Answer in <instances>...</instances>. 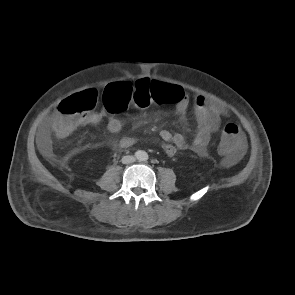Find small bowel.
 <instances>
[{
  "instance_id": "obj_1",
  "label": "small bowel",
  "mask_w": 295,
  "mask_h": 295,
  "mask_svg": "<svg viewBox=\"0 0 295 295\" xmlns=\"http://www.w3.org/2000/svg\"><path fill=\"white\" fill-rule=\"evenodd\" d=\"M146 80L147 79H141L133 83V86L138 82ZM175 87L178 90L177 99L174 101L175 112L178 116L183 117L191 103V97L184 88L180 86ZM193 106L197 120V128L190 141H188L184 135L169 130H162L159 134L163 142V151L169 157H173L179 149H191L199 156H206L211 136L218 130L221 119L227 114L225 107L207 100L202 95H195L193 97ZM105 116V111L90 113L83 119L82 124H97L101 122ZM54 120L55 114L46 121L38 135V143L46 151L50 148V133L53 131ZM107 127L111 133H118L122 129V122L119 118L111 116L108 119ZM134 143L135 140L132 137H123L119 141V146L121 148H129ZM226 153V164H236L244 153L243 141H240L236 150Z\"/></svg>"
}]
</instances>
